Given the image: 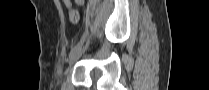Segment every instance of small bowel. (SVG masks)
I'll return each mask as SVG.
<instances>
[{
  "label": "small bowel",
  "mask_w": 209,
  "mask_h": 90,
  "mask_svg": "<svg viewBox=\"0 0 209 90\" xmlns=\"http://www.w3.org/2000/svg\"><path fill=\"white\" fill-rule=\"evenodd\" d=\"M79 3H83V1H79ZM64 4L68 9H70L72 7V3L68 0H65Z\"/></svg>",
  "instance_id": "small-bowel-1"
}]
</instances>
